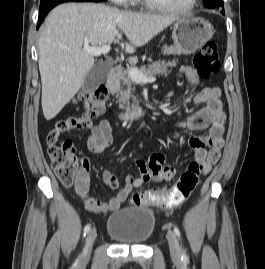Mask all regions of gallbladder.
<instances>
[{"label": "gallbladder", "mask_w": 265, "mask_h": 269, "mask_svg": "<svg viewBox=\"0 0 265 269\" xmlns=\"http://www.w3.org/2000/svg\"><path fill=\"white\" fill-rule=\"evenodd\" d=\"M109 67L102 62H98L87 74L82 83V90L90 92L96 89L106 79Z\"/></svg>", "instance_id": "bac80fb5"}]
</instances>
